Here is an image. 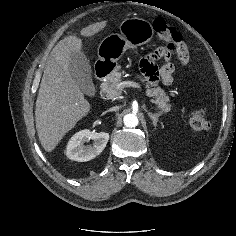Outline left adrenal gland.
<instances>
[{
    "instance_id": "obj_1",
    "label": "left adrenal gland",
    "mask_w": 236,
    "mask_h": 236,
    "mask_svg": "<svg viewBox=\"0 0 236 236\" xmlns=\"http://www.w3.org/2000/svg\"><path fill=\"white\" fill-rule=\"evenodd\" d=\"M147 114L150 117V119L152 120L153 126L156 127L157 126V122L159 120V117L161 115V112L155 113V114L151 113V112H148Z\"/></svg>"
}]
</instances>
